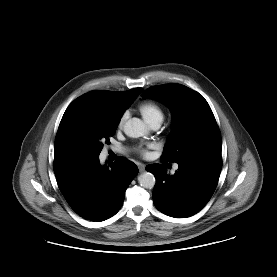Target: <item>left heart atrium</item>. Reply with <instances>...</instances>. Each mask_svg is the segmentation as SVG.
I'll return each mask as SVG.
<instances>
[{
    "label": "left heart atrium",
    "instance_id": "left-heart-atrium-1",
    "mask_svg": "<svg viewBox=\"0 0 277 277\" xmlns=\"http://www.w3.org/2000/svg\"><path fill=\"white\" fill-rule=\"evenodd\" d=\"M152 147V144H148L147 146H140L139 147V152L142 155H146L147 154V148Z\"/></svg>",
    "mask_w": 277,
    "mask_h": 277
}]
</instances>
